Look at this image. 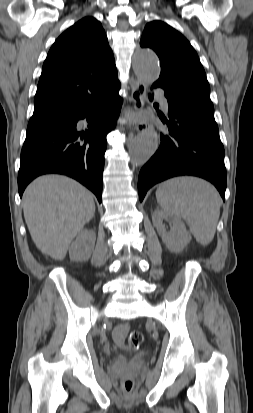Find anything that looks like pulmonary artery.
Returning a JSON list of instances; mask_svg holds the SVG:
<instances>
[{
	"instance_id": "pulmonary-artery-1",
	"label": "pulmonary artery",
	"mask_w": 253,
	"mask_h": 413,
	"mask_svg": "<svg viewBox=\"0 0 253 413\" xmlns=\"http://www.w3.org/2000/svg\"><path fill=\"white\" fill-rule=\"evenodd\" d=\"M156 93H157V95H158V97H159V100H160V103H161L162 107H163L164 109H167V107H168V102H167V99H166V97L164 96L163 92H162L161 90H157Z\"/></svg>"
}]
</instances>
